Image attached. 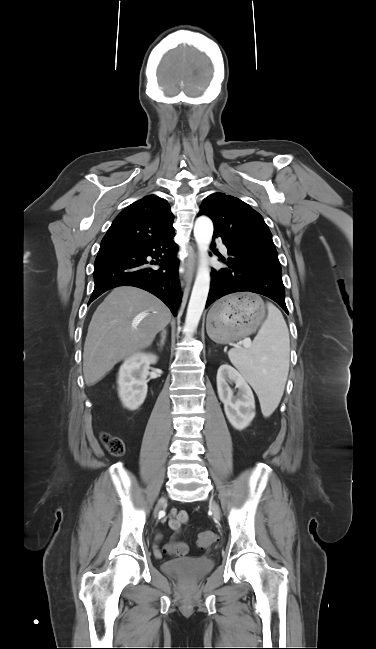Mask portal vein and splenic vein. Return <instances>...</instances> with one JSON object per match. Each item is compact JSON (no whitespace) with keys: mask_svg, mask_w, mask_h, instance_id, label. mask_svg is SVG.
Listing matches in <instances>:
<instances>
[{"mask_svg":"<svg viewBox=\"0 0 376 649\" xmlns=\"http://www.w3.org/2000/svg\"><path fill=\"white\" fill-rule=\"evenodd\" d=\"M250 343H251V340L249 338L244 339L243 342H242V344L244 346H247V347L250 346Z\"/></svg>","mask_w":376,"mask_h":649,"instance_id":"obj_1","label":"portal vein and splenic vein"}]
</instances>
